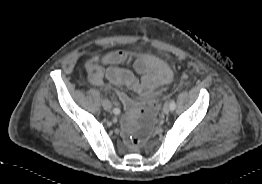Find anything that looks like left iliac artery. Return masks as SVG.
Masks as SVG:
<instances>
[{"label":"left iliac artery","instance_id":"obj_1","mask_svg":"<svg viewBox=\"0 0 262 184\" xmlns=\"http://www.w3.org/2000/svg\"><path fill=\"white\" fill-rule=\"evenodd\" d=\"M169 106H170V110H171V111L175 110V108H176V103H175V101H174V100H171Z\"/></svg>","mask_w":262,"mask_h":184}]
</instances>
